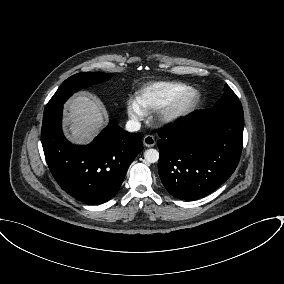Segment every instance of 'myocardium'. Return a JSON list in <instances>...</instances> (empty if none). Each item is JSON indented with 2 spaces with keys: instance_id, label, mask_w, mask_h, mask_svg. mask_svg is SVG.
<instances>
[{
  "instance_id": "obj_1",
  "label": "myocardium",
  "mask_w": 284,
  "mask_h": 284,
  "mask_svg": "<svg viewBox=\"0 0 284 284\" xmlns=\"http://www.w3.org/2000/svg\"><path fill=\"white\" fill-rule=\"evenodd\" d=\"M200 101V91L190 88L159 109L156 117L157 121L163 125L176 124L189 116L197 108Z\"/></svg>"
}]
</instances>
